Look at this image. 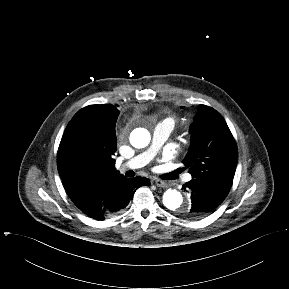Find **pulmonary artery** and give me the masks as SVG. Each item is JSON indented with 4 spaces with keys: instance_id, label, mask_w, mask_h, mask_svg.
Returning <instances> with one entry per match:
<instances>
[{
    "instance_id": "1",
    "label": "pulmonary artery",
    "mask_w": 289,
    "mask_h": 289,
    "mask_svg": "<svg viewBox=\"0 0 289 289\" xmlns=\"http://www.w3.org/2000/svg\"><path fill=\"white\" fill-rule=\"evenodd\" d=\"M172 130L173 125L167 119L159 122L153 130L152 141L149 148L124 164H121L119 169H137L147 165L167 140ZM191 178V175L187 174L184 179L185 181H190Z\"/></svg>"
}]
</instances>
